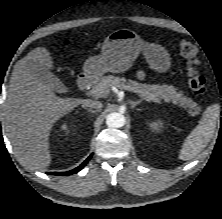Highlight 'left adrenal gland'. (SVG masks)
Listing matches in <instances>:
<instances>
[{
    "label": "left adrenal gland",
    "instance_id": "a2214340",
    "mask_svg": "<svg viewBox=\"0 0 222 219\" xmlns=\"http://www.w3.org/2000/svg\"><path fill=\"white\" fill-rule=\"evenodd\" d=\"M130 105H131V108L134 109L138 104L141 103V100H138V101H129Z\"/></svg>",
    "mask_w": 222,
    "mask_h": 219
}]
</instances>
